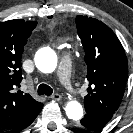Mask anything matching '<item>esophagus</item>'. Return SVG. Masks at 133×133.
<instances>
[{"instance_id":"obj_1","label":"esophagus","mask_w":133,"mask_h":133,"mask_svg":"<svg viewBox=\"0 0 133 133\" xmlns=\"http://www.w3.org/2000/svg\"><path fill=\"white\" fill-rule=\"evenodd\" d=\"M51 98H52L53 100H55V101H59V100H61L62 97H61L60 94H57V93H56V94L52 95Z\"/></svg>"}]
</instances>
